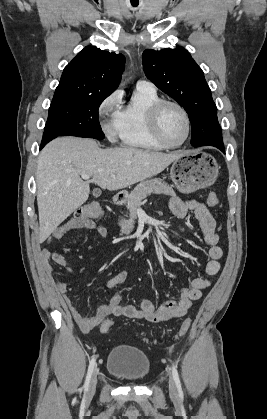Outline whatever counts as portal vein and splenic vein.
Returning <instances> with one entry per match:
<instances>
[{
  "label": "portal vein and splenic vein",
  "instance_id": "1",
  "mask_svg": "<svg viewBox=\"0 0 267 419\" xmlns=\"http://www.w3.org/2000/svg\"><path fill=\"white\" fill-rule=\"evenodd\" d=\"M81 177H82L84 180H88V179L90 178V175H81ZM111 177H112V178H114V177H115V175H114V174H112V175H111Z\"/></svg>",
  "mask_w": 267,
  "mask_h": 419
}]
</instances>
